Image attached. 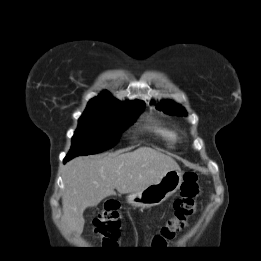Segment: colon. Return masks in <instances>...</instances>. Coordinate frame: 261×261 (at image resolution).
<instances>
[{
    "mask_svg": "<svg viewBox=\"0 0 261 261\" xmlns=\"http://www.w3.org/2000/svg\"><path fill=\"white\" fill-rule=\"evenodd\" d=\"M197 175L186 172L181 185L180 196L174 201V215L163 225L152 241L154 247H163L182 231L189 217L196 213L197 199L201 195ZM94 234L104 247L117 246L121 228V213L115 203L107 204L95 217Z\"/></svg>",
    "mask_w": 261,
    "mask_h": 261,
    "instance_id": "obj_1",
    "label": "colon"
}]
</instances>
